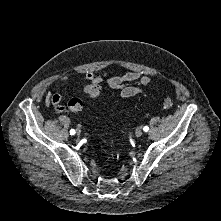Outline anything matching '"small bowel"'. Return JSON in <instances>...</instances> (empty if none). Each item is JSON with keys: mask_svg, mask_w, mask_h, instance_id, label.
I'll use <instances>...</instances> for the list:
<instances>
[{"mask_svg": "<svg viewBox=\"0 0 221 221\" xmlns=\"http://www.w3.org/2000/svg\"><path fill=\"white\" fill-rule=\"evenodd\" d=\"M83 79L89 84H99L102 77L95 72L87 71ZM69 77L62 75L58 78L60 82H67ZM152 77L143 72H127L123 76H112L108 78L107 84L110 88L120 91L121 98H130L143 92L142 86L152 82ZM63 96L57 92H50L45 98V105L52 106L57 113H62L65 108L61 105Z\"/></svg>", "mask_w": 221, "mask_h": 221, "instance_id": "obj_1", "label": "small bowel"}]
</instances>
